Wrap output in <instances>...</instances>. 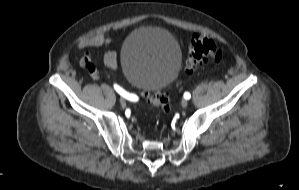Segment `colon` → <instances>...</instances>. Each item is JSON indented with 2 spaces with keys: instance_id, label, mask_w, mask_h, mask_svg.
<instances>
[{
  "instance_id": "obj_1",
  "label": "colon",
  "mask_w": 299,
  "mask_h": 190,
  "mask_svg": "<svg viewBox=\"0 0 299 190\" xmlns=\"http://www.w3.org/2000/svg\"><path fill=\"white\" fill-rule=\"evenodd\" d=\"M224 56L225 50L223 46L211 39L197 36L190 44L185 68L188 72H191L208 61L219 63L224 59ZM81 65L90 74L96 71L95 65L88 55L82 57ZM144 96L154 108L168 111L169 97L167 91H146Z\"/></svg>"
}]
</instances>
